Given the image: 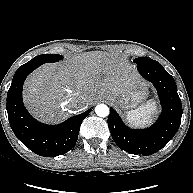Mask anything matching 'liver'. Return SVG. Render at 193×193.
Instances as JSON below:
<instances>
[{
	"instance_id": "6515ba94",
	"label": "liver",
	"mask_w": 193,
	"mask_h": 193,
	"mask_svg": "<svg viewBox=\"0 0 193 193\" xmlns=\"http://www.w3.org/2000/svg\"><path fill=\"white\" fill-rule=\"evenodd\" d=\"M138 84L136 73L118 56L97 52L41 66L25 81L23 99L36 117L56 122L75 110L68 104L71 98L88 107L107 92L124 93Z\"/></svg>"
}]
</instances>
